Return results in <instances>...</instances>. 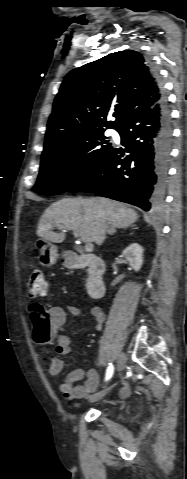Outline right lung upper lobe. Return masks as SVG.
Wrapping results in <instances>:
<instances>
[{
	"instance_id": "right-lung-upper-lobe-1",
	"label": "right lung upper lobe",
	"mask_w": 187,
	"mask_h": 479,
	"mask_svg": "<svg viewBox=\"0 0 187 479\" xmlns=\"http://www.w3.org/2000/svg\"><path fill=\"white\" fill-rule=\"evenodd\" d=\"M162 97L149 62L125 50L70 71L53 103L44 148L77 134L118 128L136 110L153 107ZM112 114L114 121H107Z\"/></svg>"
}]
</instances>
